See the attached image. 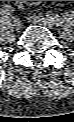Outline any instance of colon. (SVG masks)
I'll use <instances>...</instances> for the list:
<instances>
[{
    "label": "colon",
    "mask_w": 74,
    "mask_h": 122,
    "mask_svg": "<svg viewBox=\"0 0 74 122\" xmlns=\"http://www.w3.org/2000/svg\"><path fill=\"white\" fill-rule=\"evenodd\" d=\"M28 3H35V2H38V1H27Z\"/></svg>",
    "instance_id": "1"
}]
</instances>
